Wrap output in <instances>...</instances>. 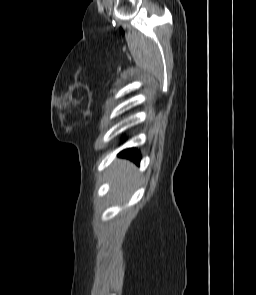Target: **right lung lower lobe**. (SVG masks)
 Returning a JSON list of instances; mask_svg holds the SVG:
<instances>
[{
  "label": "right lung lower lobe",
  "instance_id": "98d812e1",
  "mask_svg": "<svg viewBox=\"0 0 256 295\" xmlns=\"http://www.w3.org/2000/svg\"><path fill=\"white\" fill-rule=\"evenodd\" d=\"M121 155L133 160L137 164H139L140 159H141L140 153L134 148L126 149V150L122 151Z\"/></svg>",
  "mask_w": 256,
  "mask_h": 295
}]
</instances>
